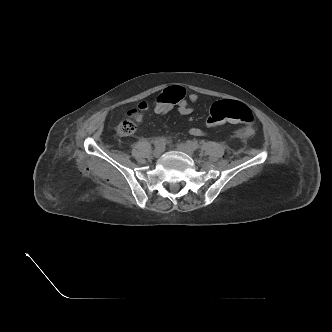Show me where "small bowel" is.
Listing matches in <instances>:
<instances>
[{"label": "small bowel", "instance_id": "small-bowel-1", "mask_svg": "<svg viewBox=\"0 0 332 332\" xmlns=\"http://www.w3.org/2000/svg\"><path fill=\"white\" fill-rule=\"evenodd\" d=\"M197 101H198V95L194 92L190 93L187 99L183 97L180 101L177 102L178 112L184 116L190 115L193 112L192 104L196 103ZM171 109H172V104L170 103L158 102L155 106V112L158 114H165L169 112ZM189 133L193 136H204L207 134L204 130L198 127H191L189 129ZM253 133L254 129L252 127H245L240 132L243 138H248Z\"/></svg>", "mask_w": 332, "mask_h": 332}]
</instances>
